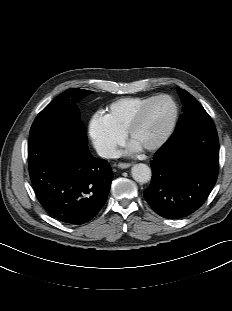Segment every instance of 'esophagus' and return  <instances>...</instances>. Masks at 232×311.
Here are the masks:
<instances>
[{"mask_svg":"<svg viewBox=\"0 0 232 311\" xmlns=\"http://www.w3.org/2000/svg\"><path fill=\"white\" fill-rule=\"evenodd\" d=\"M117 166L118 168L126 169V168H129L131 164L130 163H119Z\"/></svg>","mask_w":232,"mask_h":311,"instance_id":"esophagus-1","label":"esophagus"}]
</instances>
